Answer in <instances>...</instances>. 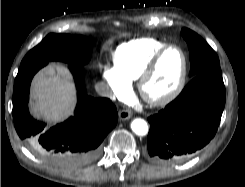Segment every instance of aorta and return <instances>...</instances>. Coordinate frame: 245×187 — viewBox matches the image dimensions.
Instances as JSON below:
<instances>
[{
    "label": "aorta",
    "instance_id": "1",
    "mask_svg": "<svg viewBox=\"0 0 245 187\" xmlns=\"http://www.w3.org/2000/svg\"><path fill=\"white\" fill-rule=\"evenodd\" d=\"M132 131L139 136H144L148 133V125L145 120L141 118L134 119L131 123Z\"/></svg>",
    "mask_w": 245,
    "mask_h": 187
}]
</instances>
